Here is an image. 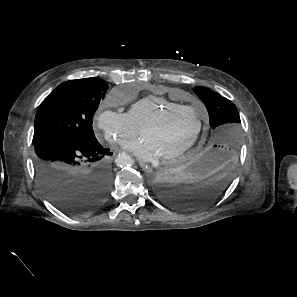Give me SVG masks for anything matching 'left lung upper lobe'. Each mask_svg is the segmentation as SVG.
I'll return each mask as SVG.
<instances>
[{"mask_svg":"<svg viewBox=\"0 0 297 297\" xmlns=\"http://www.w3.org/2000/svg\"><path fill=\"white\" fill-rule=\"evenodd\" d=\"M206 105L212 132L209 147L236 156L241 141L240 116L236 106L218 93L202 86L194 89Z\"/></svg>","mask_w":297,"mask_h":297,"instance_id":"1","label":"left lung upper lobe"}]
</instances>
